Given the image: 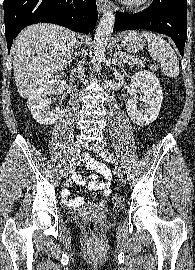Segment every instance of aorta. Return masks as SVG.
<instances>
[{"mask_svg": "<svg viewBox=\"0 0 195 270\" xmlns=\"http://www.w3.org/2000/svg\"><path fill=\"white\" fill-rule=\"evenodd\" d=\"M115 23V15L112 11H106L95 32L93 41V63L97 71L100 69V64L105 56V49L111 33L113 32Z\"/></svg>", "mask_w": 195, "mask_h": 270, "instance_id": "obj_1", "label": "aorta"}]
</instances>
